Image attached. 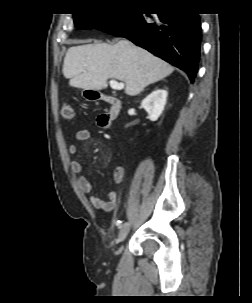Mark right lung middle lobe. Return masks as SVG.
Here are the masks:
<instances>
[{
	"label": "right lung middle lobe",
	"mask_w": 252,
	"mask_h": 303,
	"mask_svg": "<svg viewBox=\"0 0 252 303\" xmlns=\"http://www.w3.org/2000/svg\"><path fill=\"white\" fill-rule=\"evenodd\" d=\"M124 13H85L74 14L75 26L79 29H101L122 19Z\"/></svg>",
	"instance_id": "1"
}]
</instances>
